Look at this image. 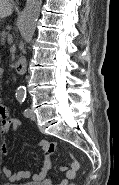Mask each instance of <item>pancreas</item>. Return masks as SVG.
<instances>
[{"instance_id": "1", "label": "pancreas", "mask_w": 119, "mask_h": 185, "mask_svg": "<svg viewBox=\"0 0 119 185\" xmlns=\"http://www.w3.org/2000/svg\"><path fill=\"white\" fill-rule=\"evenodd\" d=\"M7 35H8V32H6V31H3V32L0 33V43H1V45H5Z\"/></svg>"}]
</instances>
